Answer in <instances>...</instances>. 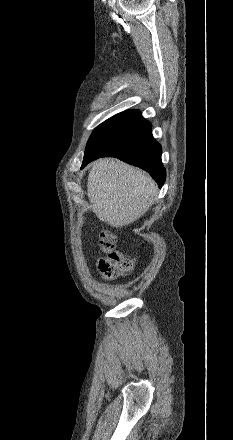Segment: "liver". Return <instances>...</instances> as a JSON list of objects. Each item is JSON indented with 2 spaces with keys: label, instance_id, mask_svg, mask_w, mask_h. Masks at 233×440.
<instances>
[{
  "label": "liver",
  "instance_id": "liver-1",
  "mask_svg": "<svg viewBox=\"0 0 233 440\" xmlns=\"http://www.w3.org/2000/svg\"><path fill=\"white\" fill-rule=\"evenodd\" d=\"M157 191L156 183L146 172L112 158L95 161L88 175L89 208L115 228L144 215Z\"/></svg>",
  "mask_w": 233,
  "mask_h": 440
}]
</instances>
